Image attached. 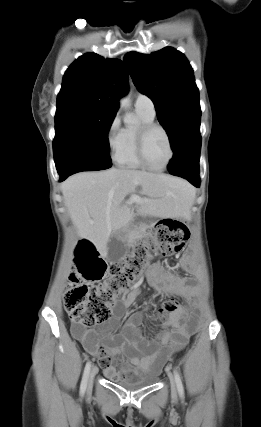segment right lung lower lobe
Wrapping results in <instances>:
<instances>
[{"label":"right lung lower lobe","mask_w":261,"mask_h":427,"mask_svg":"<svg viewBox=\"0 0 261 427\" xmlns=\"http://www.w3.org/2000/svg\"><path fill=\"white\" fill-rule=\"evenodd\" d=\"M111 166H94L82 163H67L57 168L60 175V181H64L70 175L81 171H96L108 169Z\"/></svg>","instance_id":"obj_1"}]
</instances>
